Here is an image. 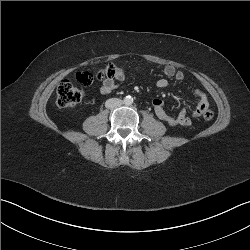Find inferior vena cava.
Instances as JSON below:
<instances>
[{"label": "inferior vena cava", "instance_id": "obj_1", "mask_svg": "<svg viewBox=\"0 0 250 250\" xmlns=\"http://www.w3.org/2000/svg\"><path fill=\"white\" fill-rule=\"evenodd\" d=\"M123 104V101L118 98H111L108 99L105 103L106 108L113 109L115 107L121 106Z\"/></svg>", "mask_w": 250, "mask_h": 250}]
</instances>
